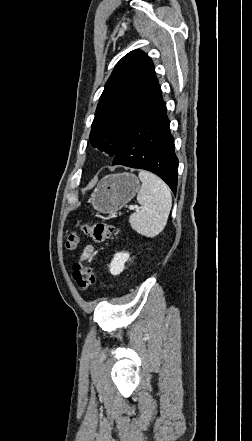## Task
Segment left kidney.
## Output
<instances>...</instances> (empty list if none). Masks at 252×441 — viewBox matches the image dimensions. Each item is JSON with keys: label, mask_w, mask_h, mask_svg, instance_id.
Returning <instances> with one entry per match:
<instances>
[{"label": "left kidney", "mask_w": 252, "mask_h": 441, "mask_svg": "<svg viewBox=\"0 0 252 441\" xmlns=\"http://www.w3.org/2000/svg\"><path fill=\"white\" fill-rule=\"evenodd\" d=\"M129 257V253L126 252L116 253L109 266L110 273L115 276L119 275L124 270L125 262L129 260Z\"/></svg>", "instance_id": "obj_1"}]
</instances>
